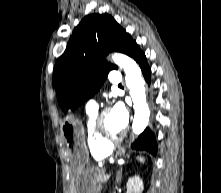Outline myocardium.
<instances>
[{
    "mask_svg": "<svg viewBox=\"0 0 221 193\" xmlns=\"http://www.w3.org/2000/svg\"><path fill=\"white\" fill-rule=\"evenodd\" d=\"M109 112H110L109 108H104L98 113L96 117L94 129L98 138L100 139L102 143L108 146H112L123 140V138L126 136V130H123V132L119 135H109L106 132V129L104 127V118L106 114Z\"/></svg>",
    "mask_w": 221,
    "mask_h": 193,
    "instance_id": "obj_1",
    "label": "myocardium"
}]
</instances>
